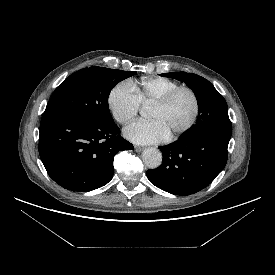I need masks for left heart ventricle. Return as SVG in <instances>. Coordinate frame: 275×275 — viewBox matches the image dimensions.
I'll list each match as a JSON object with an SVG mask.
<instances>
[{"instance_id":"b2bd125f","label":"left heart ventricle","mask_w":275,"mask_h":275,"mask_svg":"<svg viewBox=\"0 0 275 275\" xmlns=\"http://www.w3.org/2000/svg\"><path fill=\"white\" fill-rule=\"evenodd\" d=\"M193 100L189 93H179L166 108L153 106L150 117L160 121L169 134H173L184 127L193 114Z\"/></svg>"}]
</instances>
